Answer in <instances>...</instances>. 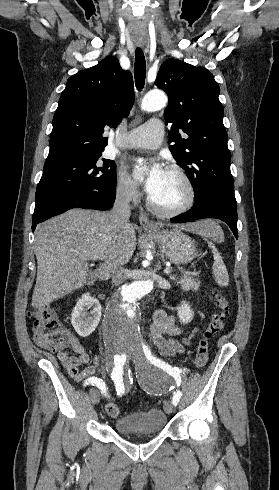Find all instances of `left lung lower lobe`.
<instances>
[{
    "label": "left lung lower lobe",
    "mask_w": 279,
    "mask_h": 490,
    "mask_svg": "<svg viewBox=\"0 0 279 490\" xmlns=\"http://www.w3.org/2000/svg\"><path fill=\"white\" fill-rule=\"evenodd\" d=\"M237 204L235 195L223 194L219 191H208L203 194L192 209L171 219L173 223H185L204 218H216L226 222L238 238Z\"/></svg>",
    "instance_id": "obj_1"
}]
</instances>
